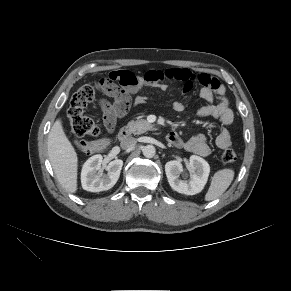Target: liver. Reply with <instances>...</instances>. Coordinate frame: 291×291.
Instances as JSON below:
<instances>
[{
    "label": "liver",
    "instance_id": "liver-1",
    "mask_svg": "<svg viewBox=\"0 0 291 291\" xmlns=\"http://www.w3.org/2000/svg\"><path fill=\"white\" fill-rule=\"evenodd\" d=\"M48 157L59 183L69 193L77 191V153L67 138L61 118L51 127L47 142Z\"/></svg>",
    "mask_w": 291,
    "mask_h": 291
}]
</instances>
